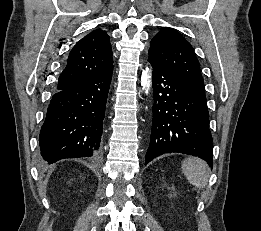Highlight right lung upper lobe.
<instances>
[{
  "instance_id": "1",
  "label": "right lung upper lobe",
  "mask_w": 261,
  "mask_h": 231,
  "mask_svg": "<svg viewBox=\"0 0 261 231\" xmlns=\"http://www.w3.org/2000/svg\"><path fill=\"white\" fill-rule=\"evenodd\" d=\"M109 36L101 29L93 30L79 40L71 50L65 69L59 76L57 90L67 89L112 67Z\"/></svg>"
}]
</instances>
